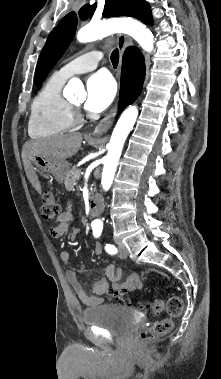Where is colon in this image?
<instances>
[{
	"label": "colon",
	"instance_id": "1",
	"mask_svg": "<svg viewBox=\"0 0 221 379\" xmlns=\"http://www.w3.org/2000/svg\"><path fill=\"white\" fill-rule=\"evenodd\" d=\"M40 211L42 219L46 222H51L58 217L60 213V206L57 199L51 192L46 191L44 193ZM113 294L116 297L122 296L121 293L117 292H114ZM146 308L153 315L166 311L170 317H178L183 311V301L178 296L170 297L166 303L160 299H155L147 302ZM171 328L172 320L170 318L160 319L155 321L148 329L143 330L139 337L143 342L148 343L168 334Z\"/></svg>",
	"mask_w": 221,
	"mask_h": 379
}]
</instances>
